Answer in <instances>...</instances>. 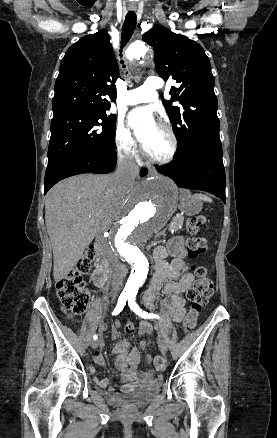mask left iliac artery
<instances>
[{"instance_id": "44dca946", "label": "left iliac artery", "mask_w": 277, "mask_h": 438, "mask_svg": "<svg viewBox=\"0 0 277 438\" xmlns=\"http://www.w3.org/2000/svg\"><path fill=\"white\" fill-rule=\"evenodd\" d=\"M128 304H129L130 309L142 318L160 319L159 315L153 314V313H147V312L143 311L142 309H140V307L138 306V304L135 301V295H133V294L128 296Z\"/></svg>"}]
</instances>
